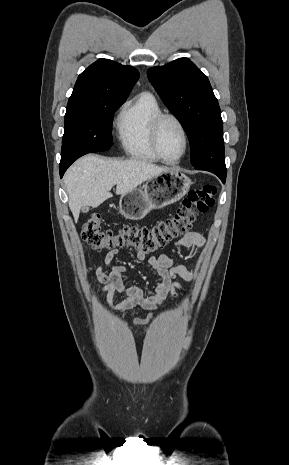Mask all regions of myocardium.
<instances>
[{
  "mask_svg": "<svg viewBox=\"0 0 289 465\" xmlns=\"http://www.w3.org/2000/svg\"><path fill=\"white\" fill-rule=\"evenodd\" d=\"M166 120L174 121L178 125V127L180 128V130H181V132L183 134V137H184V149H183V152L180 154V156H178L174 160L167 159L163 155V153L161 151V148H160L161 129H162L163 123ZM151 145H152L154 153L159 158V160H161L162 162L167 163V164H176V163H178L186 155V153H187V151L189 149V145H190L189 134H188V131H187L184 123L180 120V118H178L176 115H174L172 113L161 112L160 114H158L154 118V120L152 122V125H151Z\"/></svg>",
  "mask_w": 289,
  "mask_h": 465,
  "instance_id": "f54148a6",
  "label": "myocardium"
}]
</instances>
